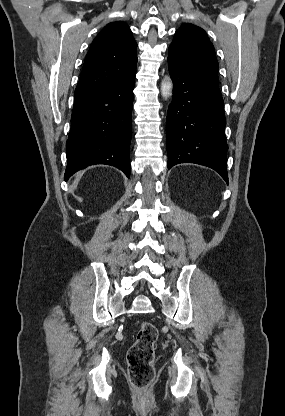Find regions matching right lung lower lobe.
Instances as JSON below:
<instances>
[{"instance_id":"1","label":"right lung lower lobe","mask_w":285,"mask_h":416,"mask_svg":"<svg viewBox=\"0 0 285 416\" xmlns=\"http://www.w3.org/2000/svg\"><path fill=\"white\" fill-rule=\"evenodd\" d=\"M135 75L103 92L74 101L66 142L65 180L94 164L112 165L130 176Z\"/></svg>"}]
</instances>
